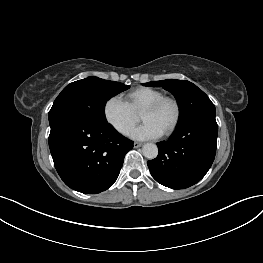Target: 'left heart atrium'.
I'll return each instance as SVG.
<instances>
[{"instance_id": "1", "label": "left heart atrium", "mask_w": 263, "mask_h": 263, "mask_svg": "<svg viewBox=\"0 0 263 263\" xmlns=\"http://www.w3.org/2000/svg\"><path fill=\"white\" fill-rule=\"evenodd\" d=\"M163 131L153 122L146 121L132 129L129 136L136 140L157 139L162 136Z\"/></svg>"}]
</instances>
